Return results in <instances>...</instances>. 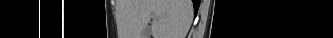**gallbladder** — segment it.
<instances>
[{
	"instance_id": "bac80fb5",
	"label": "gallbladder",
	"mask_w": 333,
	"mask_h": 38,
	"mask_svg": "<svg viewBox=\"0 0 333 38\" xmlns=\"http://www.w3.org/2000/svg\"><path fill=\"white\" fill-rule=\"evenodd\" d=\"M151 36V30H150V26H147L146 28H144V30L141 33V38H150Z\"/></svg>"
}]
</instances>
